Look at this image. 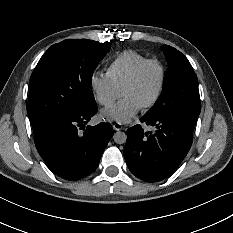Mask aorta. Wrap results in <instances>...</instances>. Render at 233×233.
Listing matches in <instances>:
<instances>
[{"mask_svg": "<svg viewBox=\"0 0 233 233\" xmlns=\"http://www.w3.org/2000/svg\"><path fill=\"white\" fill-rule=\"evenodd\" d=\"M113 140L117 144H123L127 140V135L124 132L118 131L113 135Z\"/></svg>", "mask_w": 233, "mask_h": 233, "instance_id": "aorta-1", "label": "aorta"}]
</instances>
